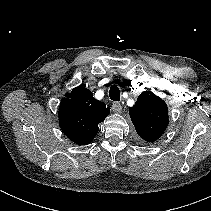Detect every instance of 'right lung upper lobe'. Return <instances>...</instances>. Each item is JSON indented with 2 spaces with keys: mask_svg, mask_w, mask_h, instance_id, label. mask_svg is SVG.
<instances>
[{
  "mask_svg": "<svg viewBox=\"0 0 211 211\" xmlns=\"http://www.w3.org/2000/svg\"><path fill=\"white\" fill-rule=\"evenodd\" d=\"M65 105L67 122L60 127L66 136L76 144L86 145L97 134L98 124L109 115L105 103L96 100L90 90L79 86L65 95L60 105Z\"/></svg>",
  "mask_w": 211,
  "mask_h": 211,
  "instance_id": "cb5924a9",
  "label": "right lung upper lobe"
}]
</instances>
